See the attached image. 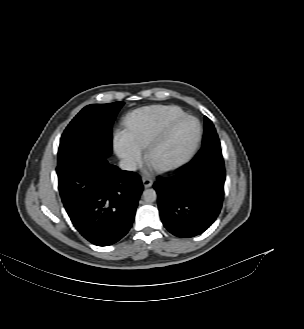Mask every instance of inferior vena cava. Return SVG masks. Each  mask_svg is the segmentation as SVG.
<instances>
[{"instance_id": "602c4592", "label": "inferior vena cava", "mask_w": 304, "mask_h": 329, "mask_svg": "<svg viewBox=\"0 0 304 329\" xmlns=\"http://www.w3.org/2000/svg\"><path fill=\"white\" fill-rule=\"evenodd\" d=\"M119 167L122 170L135 171L137 170V163L134 160L125 158L120 160Z\"/></svg>"}]
</instances>
